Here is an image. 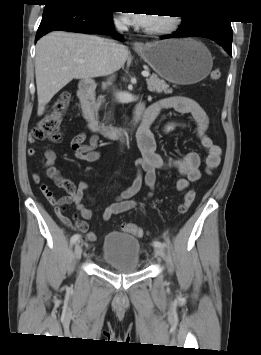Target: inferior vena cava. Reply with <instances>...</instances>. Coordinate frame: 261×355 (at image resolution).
Wrapping results in <instances>:
<instances>
[{
  "label": "inferior vena cava",
  "instance_id": "inferior-vena-cava-1",
  "mask_svg": "<svg viewBox=\"0 0 261 355\" xmlns=\"http://www.w3.org/2000/svg\"><path fill=\"white\" fill-rule=\"evenodd\" d=\"M114 24H115V27L116 29L119 31V32H122V31H127L128 28H127V25L120 19H115L114 20ZM108 47H109V50L111 51V53L116 56L117 52H118V49L120 47V44L116 43L115 41H109L108 42ZM113 72H110L109 74H111Z\"/></svg>",
  "mask_w": 261,
  "mask_h": 355
}]
</instances>
